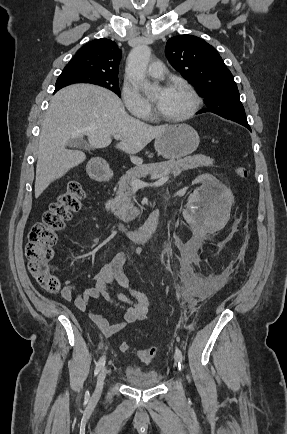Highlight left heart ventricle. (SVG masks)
Wrapping results in <instances>:
<instances>
[{
    "label": "left heart ventricle",
    "instance_id": "1",
    "mask_svg": "<svg viewBox=\"0 0 287 434\" xmlns=\"http://www.w3.org/2000/svg\"><path fill=\"white\" fill-rule=\"evenodd\" d=\"M190 105L191 98L185 90L178 87H171L167 88L162 101L157 103V108L159 112L165 116L177 117L183 115L189 109Z\"/></svg>",
    "mask_w": 287,
    "mask_h": 434
}]
</instances>
